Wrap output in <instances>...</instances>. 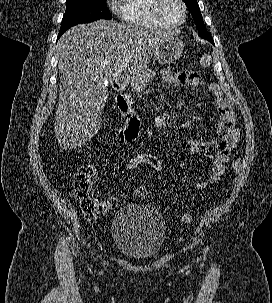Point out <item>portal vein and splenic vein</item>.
<instances>
[{
  "label": "portal vein and splenic vein",
  "instance_id": "portal-vein-and-splenic-vein-1",
  "mask_svg": "<svg viewBox=\"0 0 272 303\" xmlns=\"http://www.w3.org/2000/svg\"><path fill=\"white\" fill-rule=\"evenodd\" d=\"M123 63L126 65L128 63V59L124 60Z\"/></svg>",
  "mask_w": 272,
  "mask_h": 303
}]
</instances>
